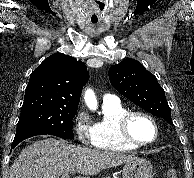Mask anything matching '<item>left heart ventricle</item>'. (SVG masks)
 Returning <instances> with one entry per match:
<instances>
[{
  "label": "left heart ventricle",
  "instance_id": "b2bd125f",
  "mask_svg": "<svg viewBox=\"0 0 194 178\" xmlns=\"http://www.w3.org/2000/svg\"><path fill=\"white\" fill-rule=\"evenodd\" d=\"M129 131L132 137L141 142H149L155 136V130L152 124L141 116L132 118L129 124Z\"/></svg>",
  "mask_w": 194,
  "mask_h": 178
}]
</instances>
